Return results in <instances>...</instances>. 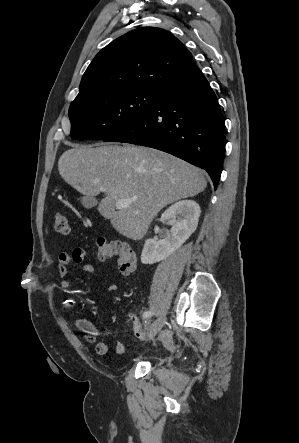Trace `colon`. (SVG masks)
Masks as SVG:
<instances>
[{
    "instance_id": "obj_1",
    "label": "colon",
    "mask_w": 299,
    "mask_h": 443,
    "mask_svg": "<svg viewBox=\"0 0 299 443\" xmlns=\"http://www.w3.org/2000/svg\"><path fill=\"white\" fill-rule=\"evenodd\" d=\"M53 227L55 232L60 235L66 236L70 233L67 217L63 213L56 214ZM96 252L99 260H116L120 272L124 275L132 274L137 268L136 254L125 242L105 238L98 239ZM160 339L171 349H175V343L168 332H163Z\"/></svg>"
}]
</instances>
